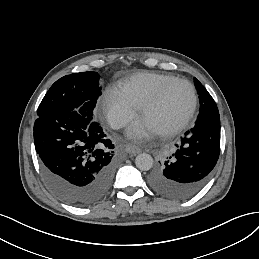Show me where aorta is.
I'll use <instances>...</instances> for the list:
<instances>
[{"label": "aorta", "instance_id": "aorta-1", "mask_svg": "<svg viewBox=\"0 0 259 259\" xmlns=\"http://www.w3.org/2000/svg\"><path fill=\"white\" fill-rule=\"evenodd\" d=\"M136 167L141 171H148L153 166V158L147 153H141L135 158Z\"/></svg>", "mask_w": 259, "mask_h": 259}]
</instances>
